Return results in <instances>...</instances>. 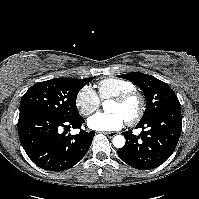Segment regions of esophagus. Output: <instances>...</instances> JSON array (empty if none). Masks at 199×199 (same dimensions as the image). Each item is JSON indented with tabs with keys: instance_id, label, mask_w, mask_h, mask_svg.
<instances>
[{
	"instance_id": "esophagus-1",
	"label": "esophagus",
	"mask_w": 199,
	"mask_h": 199,
	"mask_svg": "<svg viewBox=\"0 0 199 199\" xmlns=\"http://www.w3.org/2000/svg\"><path fill=\"white\" fill-rule=\"evenodd\" d=\"M105 134H106L108 137L112 138L113 136L116 135V132H105Z\"/></svg>"
}]
</instances>
